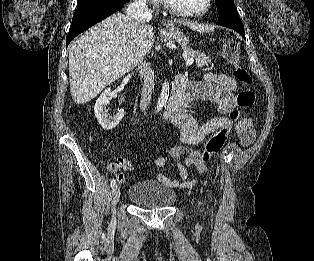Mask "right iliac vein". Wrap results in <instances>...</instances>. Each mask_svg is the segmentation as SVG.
Instances as JSON below:
<instances>
[{
  "mask_svg": "<svg viewBox=\"0 0 314 261\" xmlns=\"http://www.w3.org/2000/svg\"><path fill=\"white\" fill-rule=\"evenodd\" d=\"M120 198V188L118 185L113 186L112 188V200L113 204H116Z\"/></svg>",
  "mask_w": 314,
  "mask_h": 261,
  "instance_id": "obj_1",
  "label": "right iliac vein"
}]
</instances>
